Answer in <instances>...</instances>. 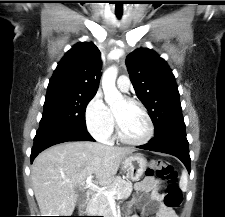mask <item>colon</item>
<instances>
[{
  "label": "colon",
  "mask_w": 225,
  "mask_h": 217,
  "mask_svg": "<svg viewBox=\"0 0 225 217\" xmlns=\"http://www.w3.org/2000/svg\"><path fill=\"white\" fill-rule=\"evenodd\" d=\"M149 175L155 174L160 179L166 181V192L163 196V202L170 208H179L182 204V191L177 184V172L174 167L162 160H152L150 162Z\"/></svg>",
  "instance_id": "colon-1"
}]
</instances>
